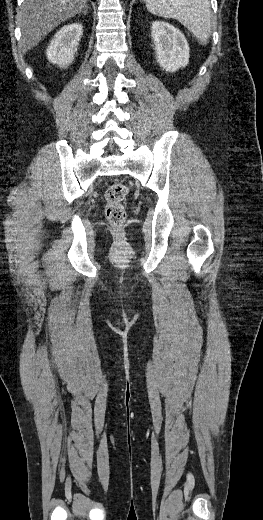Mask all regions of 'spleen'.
<instances>
[{
    "instance_id": "obj_1",
    "label": "spleen",
    "mask_w": 263,
    "mask_h": 520,
    "mask_svg": "<svg viewBox=\"0 0 263 520\" xmlns=\"http://www.w3.org/2000/svg\"><path fill=\"white\" fill-rule=\"evenodd\" d=\"M149 12L173 18L184 25L201 45L211 34V6L209 0H145Z\"/></svg>"
}]
</instances>
